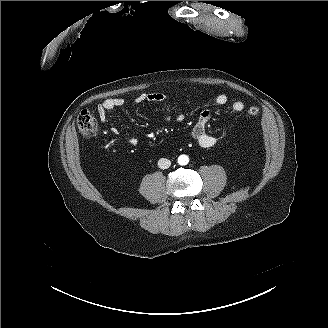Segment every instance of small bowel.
Masks as SVG:
<instances>
[{"label":"small bowel","mask_w":328,"mask_h":328,"mask_svg":"<svg viewBox=\"0 0 328 328\" xmlns=\"http://www.w3.org/2000/svg\"><path fill=\"white\" fill-rule=\"evenodd\" d=\"M168 99V94L165 92H150L141 93L135 98L136 104L144 103H156L162 102ZM215 103L217 105L223 106L228 103V97L225 94H218L215 96ZM124 105V100L122 98H109L100 103L97 107V113L101 121L105 122L107 120V114L111 110L120 108ZM245 105L242 101L236 100L232 102L231 109L235 113H240L244 110ZM211 111L205 109L201 111L196 124L193 126L190 132L191 138L197 142V144L202 148H211L215 145L216 139L207 131V124L211 119ZM169 120V117H166ZM176 119L182 121L184 115L182 113L178 114ZM111 133L117 134L118 130L116 127L111 128ZM129 144L135 146L138 142L136 138L129 139Z\"/></svg>","instance_id":"obj_1"}]
</instances>
